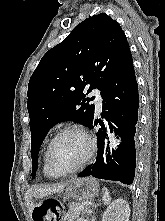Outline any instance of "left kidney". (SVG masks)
I'll use <instances>...</instances> for the list:
<instances>
[{
    "label": "left kidney",
    "instance_id": "5707ae66",
    "mask_svg": "<svg viewBox=\"0 0 165 221\" xmlns=\"http://www.w3.org/2000/svg\"><path fill=\"white\" fill-rule=\"evenodd\" d=\"M130 207L121 198L113 201L103 214L102 221H129Z\"/></svg>",
    "mask_w": 165,
    "mask_h": 221
}]
</instances>
